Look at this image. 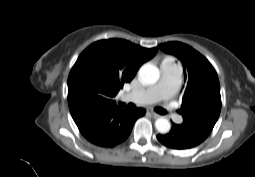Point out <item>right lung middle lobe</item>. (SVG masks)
<instances>
[{
	"mask_svg": "<svg viewBox=\"0 0 255 177\" xmlns=\"http://www.w3.org/2000/svg\"><path fill=\"white\" fill-rule=\"evenodd\" d=\"M85 73L87 74V75H98V72L94 69V68H92V67H88V68H86V70H85Z\"/></svg>",
	"mask_w": 255,
	"mask_h": 177,
	"instance_id": "right-lung-middle-lobe-1",
	"label": "right lung middle lobe"
}]
</instances>
